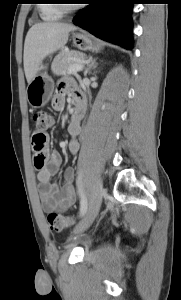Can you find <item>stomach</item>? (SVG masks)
<instances>
[{"mask_svg": "<svg viewBox=\"0 0 181 300\" xmlns=\"http://www.w3.org/2000/svg\"><path fill=\"white\" fill-rule=\"evenodd\" d=\"M73 44L79 50H98V44L86 33H74ZM40 69H43L42 67ZM54 82L46 71L39 72L27 88V99L34 108L46 105L53 93Z\"/></svg>", "mask_w": 181, "mask_h": 300, "instance_id": "obj_1", "label": "stomach"}]
</instances>
